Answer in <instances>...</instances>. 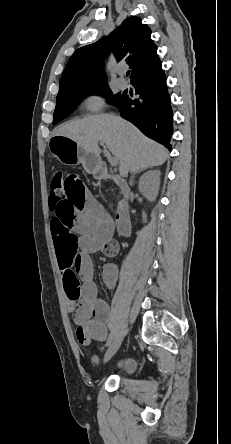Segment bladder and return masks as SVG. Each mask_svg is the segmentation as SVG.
I'll return each mask as SVG.
<instances>
[{
	"instance_id": "obj_1",
	"label": "bladder",
	"mask_w": 231,
	"mask_h": 444,
	"mask_svg": "<svg viewBox=\"0 0 231 444\" xmlns=\"http://www.w3.org/2000/svg\"><path fill=\"white\" fill-rule=\"evenodd\" d=\"M113 369L122 375H130L132 374L136 369V362L133 357L127 356L122 357L119 360L116 361L114 364Z\"/></svg>"
}]
</instances>
